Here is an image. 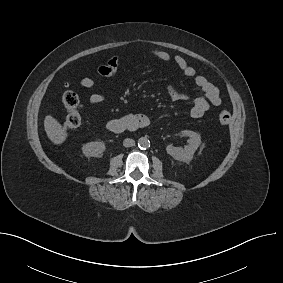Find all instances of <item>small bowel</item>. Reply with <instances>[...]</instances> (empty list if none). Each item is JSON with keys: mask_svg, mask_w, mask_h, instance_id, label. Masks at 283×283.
Wrapping results in <instances>:
<instances>
[{"mask_svg": "<svg viewBox=\"0 0 283 283\" xmlns=\"http://www.w3.org/2000/svg\"><path fill=\"white\" fill-rule=\"evenodd\" d=\"M149 55L165 63L175 64L182 73L187 77H195V83L203 92V96L197 97L193 101L190 109L192 118L198 119L203 117L211 106H219L221 104V97L219 89L211 83L206 77L196 76L195 69L180 55H173L169 52L160 49H150ZM120 64V56H111L104 64L97 67V73L101 77H112L116 74ZM83 88H91L96 84V79L93 77H83L79 82ZM167 94L173 101H185L188 99L187 95L174 87L167 88ZM106 96L101 93H94L89 96L88 104L90 106L98 105L104 102Z\"/></svg>", "mask_w": 283, "mask_h": 283, "instance_id": "1", "label": "small bowel"}]
</instances>
